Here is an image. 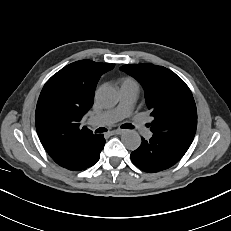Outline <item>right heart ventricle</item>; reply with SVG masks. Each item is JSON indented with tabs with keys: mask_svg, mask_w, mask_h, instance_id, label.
<instances>
[{
	"mask_svg": "<svg viewBox=\"0 0 231 231\" xmlns=\"http://www.w3.org/2000/svg\"><path fill=\"white\" fill-rule=\"evenodd\" d=\"M123 87H137L138 88V83L135 79L131 77H126L121 82V88Z\"/></svg>",
	"mask_w": 231,
	"mask_h": 231,
	"instance_id": "right-heart-ventricle-1",
	"label": "right heart ventricle"
}]
</instances>
